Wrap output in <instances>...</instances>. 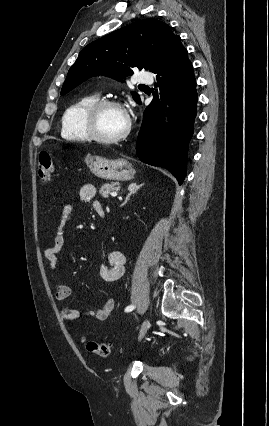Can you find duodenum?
<instances>
[{
  "label": "duodenum",
  "instance_id": "410a0bca",
  "mask_svg": "<svg viewBox=\"0 0 269 426\" xmlns=\"http://www.w3.org/2000/svg\"><path fill=\"white\" fill-rule=\"evenodd\" d=\"M97 212H98V214H99V216L101 217V218H105V212L103 211V209H101V208H99L98 210H97Z\"/></svg>",
  "mask_w": 269,
  "mask_h": 426
}]
</instances>
